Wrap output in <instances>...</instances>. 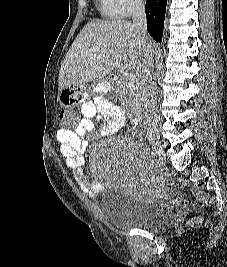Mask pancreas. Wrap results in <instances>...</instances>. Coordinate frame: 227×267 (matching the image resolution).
I'll return each instance as SVG.
<instances>
[{"instance_id":"cf45deb5","label":"pancreas","mask_w":227,"mask_h":267,"mask_svg":"<svg viewBox=\"0 0 227 267\" xmlns=\"http://www.w3.org/2000/svg\"><path fill=\"white\" fill-rule=\"evenodd\" d=\"M116 93L121 97L123 105L134 110L140 103V93L137 84L128 85L126 76L117 78L114 85Z\"/></svg>"}]
</instances>
